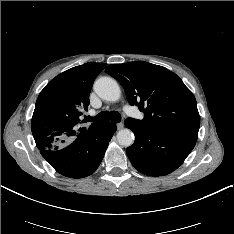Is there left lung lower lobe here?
I'll return each mask as SVG.
<instances>
[{"label":"left lung lower lobe","mask_w":234,"mask_h":234,"mask_svg":"<svg viewBox=\"0 0 234 234\" xmlns=\"http://www.w3.org/2000/svg\"><path fill=\"white\" fill-rule=\"evenodd\" d=\"M125 126L135 134L126 149L132 165L149 176H162L177 169L194 148L199 129L162 128L126 119Z\"/></svg>","instance_id":"left-lung-lower-lobe-1"}]
</instances>
